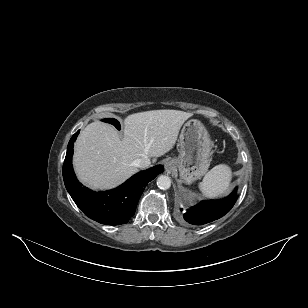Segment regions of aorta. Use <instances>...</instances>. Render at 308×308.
Segmentation results:
<instances>
[{
	"label": "aorta",
	"mask_w": 308,
	"mask_h": 308,
	"mask_svg": "<svg viewBox=\"0 0 308 308\" xmlns=\"http://www.w3.org/2000/svg\"><path fill=\"white\" fill-rule=\"evenodd\" d=\"M157 186L162 190L169 189L171 186V179L169 176L160 175L157 179Z\"/></svg>",
	"instance_id": "762f6f07"
}]
</instances>
